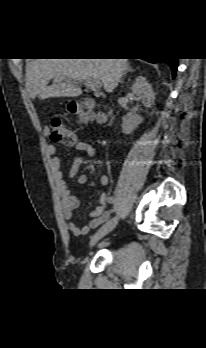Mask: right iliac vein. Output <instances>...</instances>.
I'll list each match as a JSON object with an SVG mask.
<instances>
[{
  "mask_svg": "<svg viewBox=\"0 0 206 348\" xmlns=\"http://www.w3.org/2000/svg\"><path fill=\"white\" fill-rule=\"evenodd\" d=\"M117 223L118 217H114L106 222L91 238L89 246L93 247L99 240L110 233L116 227Z\"/></svg>",
  "mask_w": 206,
  "mask_h": 348,
  "instance_id": "obj_1",
  "label": "right iliac vein"
}]
</instances>
